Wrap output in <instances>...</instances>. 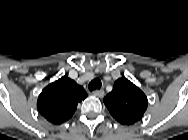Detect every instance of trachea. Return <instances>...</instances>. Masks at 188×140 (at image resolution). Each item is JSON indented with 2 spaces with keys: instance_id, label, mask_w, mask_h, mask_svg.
I'll return each mask as SVG.
<instances>
[{
  "instance_id": "trachea-1",
  "label": "trachea",
  "mask_w": 188,
  "mask_h": 140,
  "mask_svg": "<svg viewBox=\"0 0 188 140\" xmlns=\"http://www.w3.org/2000/svg\"><path fill=\"white\" fill-rule=\"evenodd\" d=\"M89 90H96L101 88V81L99 79H93L88 86Z\"/></svg>"
}]
</instances>
